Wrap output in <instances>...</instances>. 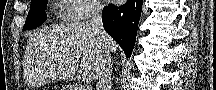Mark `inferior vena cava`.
Listing matches in <instances>:
<instances>
[{"instance_id": "obj_1", "label": "inferior vena cava", "mask_w": 216, "mask_h": 90, "mask_svg": "<svg viewBox=\"0 0 216 90\" xmlns=\"http://www.w3.org/2000/svg\"><path fill=\"white\" fill-rule=\"evenodd\" d=\"M103 6L98 4H91L89 8L90 18L88 20L89 28L91 32H94L98 38L100 46L99 62H96L94 66L93 76L96 82V90H111L112 82V62H111V48L110 36L106 34L102 20Z\"/></svg>"}]
</instances>
